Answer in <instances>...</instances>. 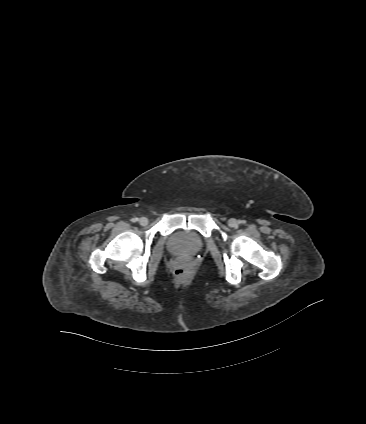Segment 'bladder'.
<instances>
[{
  "instance_id": "bladder-1",
  "label": "bladder",
  "mask_w": 366,
  "mask_h": 424,
  "mask_svg": "<svg viewBox=\"0 0 366 424\" xmlns=\"http://www.w3.org/2000/svg\"><path fill=\"white\" fill-rule=\"evenodd\" d=\"M168 248L179 255H195L203 247V238L196 232L179 230L168 239Z\"/></svg>"
}]
</instances>
